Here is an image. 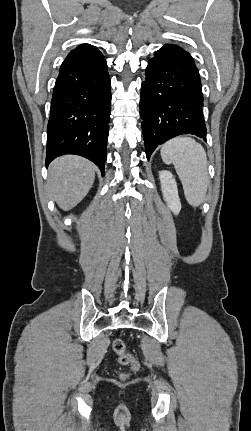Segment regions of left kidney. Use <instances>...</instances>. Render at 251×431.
<instances>
[{"label":"left kidney","instance_id":"obj_1","mask_svg":"<svg viewBox=\"0 0 251 431\" xmlns=\"http://www.w3.org/2000/svg\"><path fill=\"white\" fill-rule=\"evenodd\" d=\"M159 178L161 183V190L163 198L167 203L168 208L175 214L178 215L181 210V202L178 196L177 183L172 173L167 170L159 172Z\"/></svg>","mask_w":251,"mask_h":431}]
</instances>
